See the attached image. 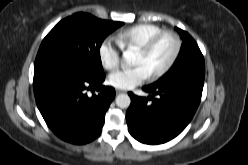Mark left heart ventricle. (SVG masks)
Returning <instances> with one entry per match:
<instances>
[{"label":"left heart ventricle","mask_w":248,"mask_h":165,"mask_svg":"<svg viewBox=\"0 0 248 165\" xmlns=\"http://www.w3.org/2000/svg\"><path fill=\"white\" fill-rule=\"evenodd\" d=\"M173 50V42L170 38L162 39L149 54L138 52L134 65H144L152 74L170 57Z\"/></svg>","instance_id":"1"}]
</instances>
